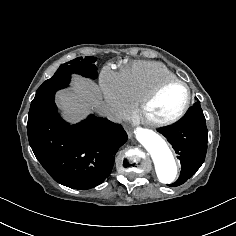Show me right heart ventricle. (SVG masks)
<instances>
[{
    "instance_id": "1",
    "label": "right heart ventricle",
    "mask_w": 236,
    "mask_h": 236,
    "mask_svg": "<svg viewBox=\"0 0 236 236\" xmlns=\"http://www.w3.org/2000/svg\"><path fill=\"white\" fill-rule=\"evenodd\" d=\"M176 75L166 65L153 61H134L123 67L122 79L128 98L138 104L158 83Z\"/></svg>"
}]
</instances>
